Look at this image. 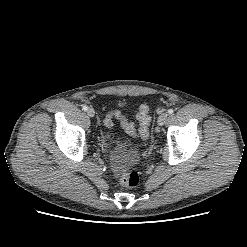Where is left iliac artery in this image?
I'll return each mask as SVG.
<instances>
[{"instance_id": "left-iliac-artery-1", "label": "left iliac artery", "mask_w": 247, "mask_h": 247, "mask_svg": "<svg viewBox=\"0 0 247 247\" xmlns=\"http://www.w3.org/2000/svg\"><path fill=\"white\" fill-rule=\"evenodd\" d=\"M173 112H174L173 109H169V110H168V113H169V114H172Z\"/></svg>"}]
</instances>
